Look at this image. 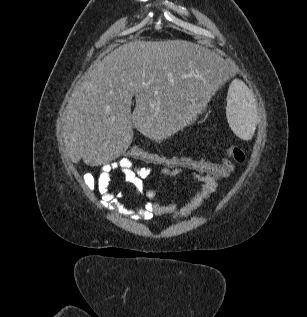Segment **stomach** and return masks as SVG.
Here are the masks:
<instances>
[{"label":"stomach","mask_w":307,"mask_h":317,"mask_svg":"<svg viewBox=\"0 0 307 317\" xmlns=\"http://www.w3.org/2000/svg\"><path fill=\"white\" fill-rule=\"evenodd\" d=\"M207 108V103L206 101H202L199 108H198V113H203L205 109Z\"/></svg>","instance_id":"1"}]
</instances>
